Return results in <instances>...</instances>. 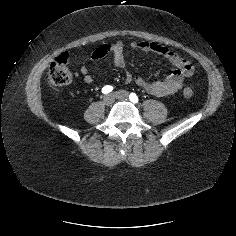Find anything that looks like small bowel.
Instances as JSON below:
<instances>
[{
  "mask_svg": "<svg viewBox=\"0 0 236 236\" xmlns=\"http://www.w3.org/2000/svg\"><path fill=\"white\" fill-rule=\"evenodd\" d=\"M131 47L133 49L158 54L168 60L175 69L162 80L149 81L141 76H133L126 69L124 45L121 41H117L112 45L104 44L97 47L91 54V61H98L108 53H112V64L123 70L125 82H134L137 86L155 96H168L178 92L183 88L184 80L193 74L191 62L168 47L150 41L132 42ZM80 74L85 84L91 85L94 83L95 79L89 73L88 63L86 61L83 62L80 67Z\"/></svg>",
  "mask_w": 236,
  "mask_h": 236,
  "instance_id": "small-bowel-1",
  "label": "small bowel"
}]
</instances>
